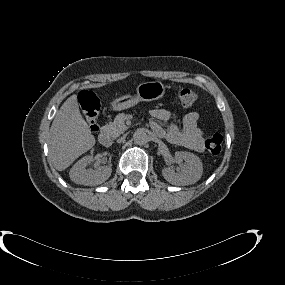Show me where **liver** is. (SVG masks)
Returning a JSON list of instances; mask_svg holds the SVG:
<instances>
[{
  "label": "liver",
  "instance_id": "6515ba94",
  "mask_svg": "<svg viewBox=\"0 0 285 285\" xmlns=\"http://www.w3.org/2000/svg\"><path fill=\"white\" fill-rule=\"evenodd\" d=\"M95 144L86 121L80 114L77 95L70 96L57 112L49 131L48 148L58 171L69 167Z\"/></svg>",
  "mask_w": 285,
  "mask_h": 285
}]
</instances>
